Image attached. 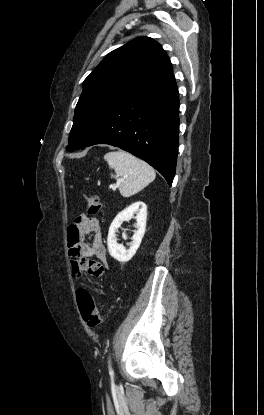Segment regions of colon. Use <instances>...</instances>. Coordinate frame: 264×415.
<instances>
[{
	"mask_svg": "<svg viewBox=\"0 0 264 415\" xmlns=\"http://www.w3.org/2000/svg\"><path fill=\"white\" fill-rule=\"evenodd\" d=\"M100 199L95 194L87 196V212L89 216L97 215L101 210ZM73 268L76 271L87 273L91 276H101L103 266L94 259L83 258L73 262ZM76 304L81 317L91 327H97L102 322V317L98 309L96 300L84 288H79L76 292Z\"/></svg>",
	"mask_w": 264,
	"mask_h": 415,
	"instance_id": "5ec220e1",
	"label": "colon"
}]
</instances>
